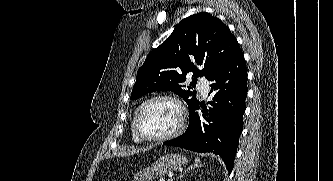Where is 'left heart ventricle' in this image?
<instances>
[{
  "mask_svg": "<svg viewBox=\"0 0 333 181\" xmlns=\"http://www.w3.org/2000/svg\"><path fill=\"white\" fill-rule=\"evenodd\" d=\"M178 123V107L167 100H157L148 104L139 119L141 130L149 136L167 134L174 130Z\"/></svg>",
  "mask_w": 333,
  "mask_h": 181,
  "instance_id": "left-heart-ventricle-1",
  "label": "left heart ventricle"
}]
</instances>
